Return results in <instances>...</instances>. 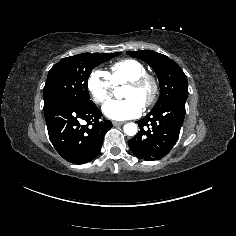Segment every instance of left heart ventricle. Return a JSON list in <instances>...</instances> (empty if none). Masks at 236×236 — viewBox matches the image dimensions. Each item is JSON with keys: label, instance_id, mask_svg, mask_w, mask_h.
<instances>
[{"label": "left heart ventricle", "instance_id": "b2bd125f", "mask_svg": "<svg viewBox=\"0 0 236 236\" xmlns=\"http://www.w3.org/2000/svg\"><path fill=\"white\" fill-rule=\"evenodd\" d=\"M148 91L149 88L147 85L142 87H126L123 97L126 99H134L143 105L148 96Z\"/></svg>", "mask_w": 236, "mask_h": 236}]
</instances>
